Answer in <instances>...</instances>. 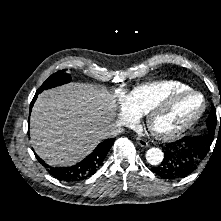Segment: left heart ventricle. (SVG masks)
<instances>
[{
  "mask_svg": "<svg viewBox=\"0 0 221 221\" xmlns=\"http://www.w3.org/2000/svg\"><path fill=\"white\" fill-rule=\"evenodd\" d=\"M198 96H189L169 107L155 121L159 129H172L186 121L200 106Z\"/></svg>",
  "mask_w": 221,
  "mask_h": 221,
  "instance_id": "left-heart-ventricle-1",
  "label": "left heart ventricle"
}]
</instances>
